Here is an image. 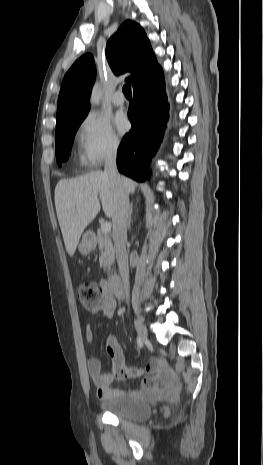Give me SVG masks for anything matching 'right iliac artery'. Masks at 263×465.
<instances>
[{"label":"right iliac artery","mask_w":263,"mask_h":465,"mask_svg":"<svg viewBox=\"0 0 263 465\" xmlns=\"http://www.w3.org/2000/svg\"><path fill=\"white\" fill-rule=\"evenodd\" d=\"M137 345L139 348L143 346V341L139 337L137 338Z\"/></svg>","instance_id":"obj_1"}]
</instances>
